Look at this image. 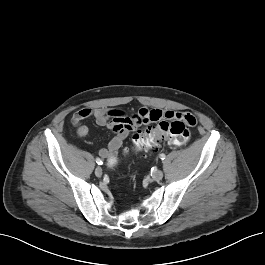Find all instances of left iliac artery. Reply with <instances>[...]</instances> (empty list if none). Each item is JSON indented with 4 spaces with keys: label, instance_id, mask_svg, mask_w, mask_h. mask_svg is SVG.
Wrapping results in <instances>:
<instances>
[{
    "label": "left iliac artery",
    "instance_id": "obj_1",
    "mask_svg": "<svg viewBox=\"0 0 265 265\" xmlns=\"http://www.w3.org/2000/svg\"><path fill=\"white\" fill-rule=\"evenodd\" d=\"M165 158H166L165 154H163V153L160 154V159H161V160H164Z\"/></svg>",
    "mask_w": 265,
    "mask_h": 265
}]
</instances>
